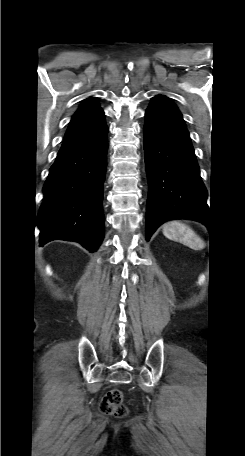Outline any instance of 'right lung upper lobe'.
Masks as SVG:
<instances>
[{
  "instance_id": "right-lung-upper-lobe-1",
  "label": "right lung upper lobe",
  "mask_w": 245,
  "mask_h": 456,
  "mask_svg": "<svg viewBox=\"0 0 245 456\" xmlns=\"http://www.w3.org/2000/svg\"><path fill=\"white\" fill-rule=\"evenodd\" d=\"M104 125V112L96 98L83 100L79 109L72 116L60 151L79 148L93 142Z\"/></svg>"
}]
</instances>
